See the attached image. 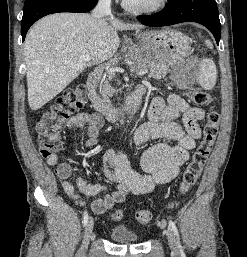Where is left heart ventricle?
<instances>
[{
	"mask_svg": "<svg viewBox=\"0 0 247 257\" xmlns=\"http://www.w3.org/2000/svg\"><path fill=\"white\" fill-rule=\"evenodd\" d=\"M135 5H150L155 3L157 0H127Z\"/></svg>",
	"mask_w": 247,
	"mask_h": 257,
	"instance_id": "left-heart-ventricle-1",
	"label": "left heart ventricle"
}]
</instances>
